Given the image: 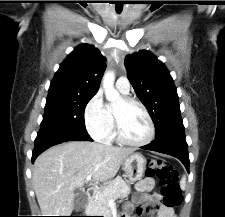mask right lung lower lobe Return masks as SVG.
I'll list each match as a JSON object with an SVG mask.
<instances>
[{"instance_id": "98d812e1", "label": "right lung lower lobe", "mask_w": 225, "mask_h": 217, "mask_svg": "<svg viewBox=\"0 0 225 217\" xmlns=\"http://www.w3.org/2000/svg\"><path fill=\"white\" fill-rule=\"evenodd\" d=\"M67 141H92V139L85 132L70 131L56 127H40V131L35 139L32 162L46 149Z\"/></svg>"}]
</instances>
